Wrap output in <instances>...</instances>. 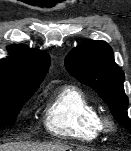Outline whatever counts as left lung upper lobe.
Segmentation results:
<instances>
[{
  "label": "left lung upper lobe",
  "mask_w": 131,
  "mask_h": 151,
  "mask_svg": "<svg viewBox=\"0 0 131 151\" xmlns=\"http://www.w3.org/2000/svg\"><path fill=\"white\" fill-rule=\"evenodd\" d=\"M65 66L72 76L93 88L107 103L115 119L131 131L128 98L123 89L124 72L115 63L112 49L106 42H83L66 56Z\"/></svg>",
  "instance_id": "obj_1"
}]
</instances>
